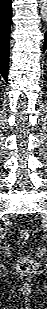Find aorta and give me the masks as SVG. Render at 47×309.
<instances>
[{"mask_svg":"<svg viewBox=\"0 0 47 309\" xmlns=\"http://www.w3.org/2000/svg\"><path fill=\"white\" fill-rule=\"evenodd\" d=\"M47 9V0H42V11L45 14Z\"/></svg>","mask_w":47,"mask_h":309,"instance_id":"762f6f07","label":"aorta"}]
</instances>
